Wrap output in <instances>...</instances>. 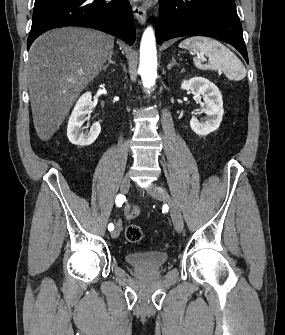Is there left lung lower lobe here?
I'll return each instance as SVG.
<instances>
[{
  "label": "left lung lower lobe",
  "mask_w": 285,
  "mask_h": 335,
  "mask_svg": "<svg viewBox=\"0 0 285 335\" xmlns=\"http://www.w3.org/2000/svg\"><path fill=\"white\" fill-rule=\"evenodd\" d=\"M156 38L207 36L234 46L248 63L234 0H160Z\"/></svg>",
  "instance_id": "0a47b994"
}]
</instances>
